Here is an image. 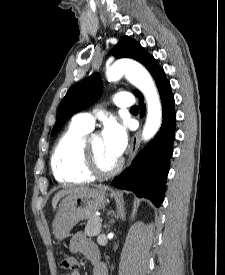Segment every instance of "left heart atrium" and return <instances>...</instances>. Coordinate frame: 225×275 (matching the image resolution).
Here are the masks:
<instances>
[{"mask_svg":"<svg viewBox=\"0 0 225 275\" xmlns=\"http://www.w3.org/2000/svg\"><path fill=\"white\" fill-rule=\"evenodd\" d=\"M102 140L107 153L118 160L127 145V133L123 125L111 120L108 121L102 132Z\"/></svg>","mask_w":225,"mask_h":275,"instance_id":"left-heart-atrium-1","label":"left heart atrium"}]
</instances>
